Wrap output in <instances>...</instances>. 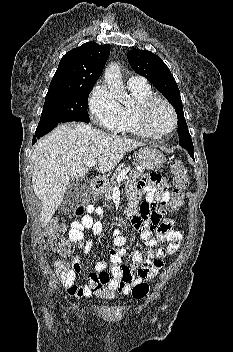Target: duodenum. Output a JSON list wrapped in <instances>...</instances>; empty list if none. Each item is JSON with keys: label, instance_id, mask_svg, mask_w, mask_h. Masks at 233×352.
<instances>
[{"label": "duodenum", "instance_id": "1", "mask_svg": "<svg viewBox=\"0 0 233 352\" xmlns=\"http://www.w3.org/2000/svg\"><path fill=\"white\" fill-rule=\"evenodd\" d=\"M103 188V181L101 178L96 177L93 179V183H92V192L94 194H99L101 193Z\"/></svg>", "mask_w": 233, "mask_h": 352}]
</instances>
